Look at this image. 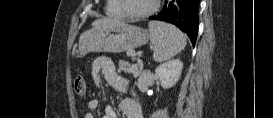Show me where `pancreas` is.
I'll return each mask as SVG.
<instances>
[{"label":"pancreas","instance_id":"obj_1","mask_svg":"<svg viewBox=\"0 0 273 118\" xmlns=\"http://www.w3.org/2000/svg\"><path fill=\"white\" fill-rule=\"evenodd\" d=\"M119 69L124 72H127V73L135 74L138 70V66L137 65H130L128 62H126L124 60H120L119 61Z\"/></svg>","mask_w":273,"mask_h":118}]
</instances>
